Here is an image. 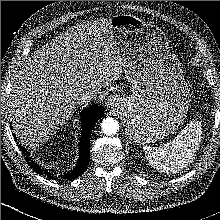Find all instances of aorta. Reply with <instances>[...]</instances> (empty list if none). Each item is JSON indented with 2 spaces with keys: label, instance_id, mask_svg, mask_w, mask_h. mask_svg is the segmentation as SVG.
<instances>
[{
  "label": "aorta",
  "instance_id": "aorta-1",
  "mask_svg": "<svg viewBox=\"0 0 220 220\" xmlns=\"http://www.w3.org/2000/svg\"><path fill=\"white\" fill-rule=\"evenodd\" d=\"M101 127L104 134L112 135L117 133L119 123L116 119L109 117L102 121Z\"/></svg>",
  "mask_w": 220,
  "mask_h": 220
}]
</instances>
